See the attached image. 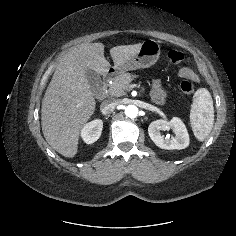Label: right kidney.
Wrapping results in <instances>:
<instances>
[{
    "label": "right kidney",
    "mask_w": 236,
    "mask_h": 236,
    "mask_svg": "<svg viewBox=\"0 0 236 236\" xmlns=\"http://www.w3.org/2000/svg\"><path fill=\"white\" fill-rule=\"evenodd\" d=\"M103 122L96 119L86 124L81 130V137L87 144H92L99 139L102 133Z\"/></svg>",
    "instance_id": "right-kidney-1"
}]
</instances>
